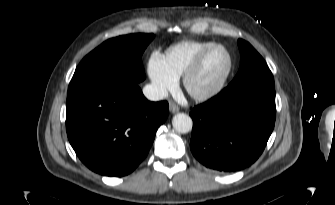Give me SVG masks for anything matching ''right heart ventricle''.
Instances as JSON below:
<instances>
[{
	"instance_id": "e07e8e85",
	"label": "right heart ventricle",
	"mask_w": 335,
	"mask_h": 205,
	"mask_svg": "<svg viewBox=\"0 0 335 205\" xmlns=\"http://www.w3.org/2000/svg\"><path fill=\"white\" fill-rule=\"evenodd\" d=\"M215 44L211 41L184 40L170 46L163 55L168 70L176 77L182 76L195 58L206 48Z\"/></svg>"
}]
</instances>
